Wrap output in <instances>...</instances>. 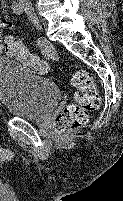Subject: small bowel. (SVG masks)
<instances>
[{
  "label": "small bowel",
  "instance_id": "obj_1",
  "mask_svg": "<svg viewBox=\"0 0 123 201\" xmlns=\"http://www.w3.org/2000/svg\"><path fill=\"white\" fill-rule=\"evenodd\" d=\"M5 29H8L10 31H13L15 29L14 23L9 18H3L0 21V54H2V52L4 51L2 43L5 36L4 34Z\"/></svg>",
  "mask_w": 123,
  "mask_h": 201
}]
</instances>
